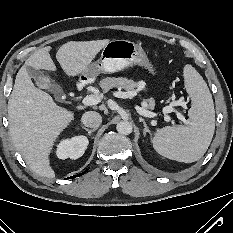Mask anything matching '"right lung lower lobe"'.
I'll use <instances>...</instances> for the list:
<instances>
[{"label":"right lung lower lobe","instance_id":"right-lung-lower-lobe-1","mask_svg":"<svg viewBox=\"0 0 233 233\" xmlns=\"http://www.w3.org/2000/svg\"><path fill=\"white\" fill-rule=\"evenodd\" d=\"M86 171H87V170H86ZM86 171H85V172H86ZM85 172H83L82 174H79V175L72 176V177H70V178H75V177H77V176L83 175Z\"/></svg>","mask_w":233,"mask_h":233}]
</instances>
